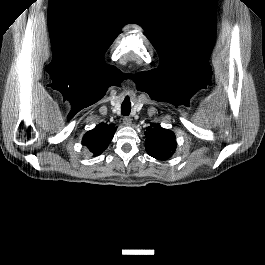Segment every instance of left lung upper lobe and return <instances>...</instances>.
<instances>
[{
  "label": "left lung upper lobe",
  "mask_w": 265,
  "mask_h": 265,
  "mask_svg": "<svg viewBox=\"0 0 265 265\" xmlns=\"http://www.w3.org/2000/svg\"><path fill=\"white\" fill-rule=\"evenodd\" d=\"M145 132L146 151L158 159L165 160L172 156L176 149L175 134L162 128L159 124H152Z\"/></svg>",
  "instance_id": "5c2ea615"
}]
</instances>
